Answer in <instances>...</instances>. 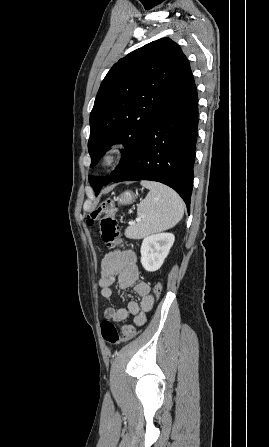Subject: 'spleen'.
<instances>
[{
    "label": "spleen",
    "instance_id": "3e777b00",
    "mask_svg": "<svg viewBox=\"0 0 269 447\" xmlns=\"http://www.w3.org/2000/svg\"><path fill=\"white\" fill-rule=\"evenodd\" d=\"M141 186L150 190L145 200L137 208L138 224L129 225L125 231L126 237L141 239L150 233H158L178 224L184 216V204L180 196L158 182H141Z\"/></svg>",
    "mask_w": 269,
    "mask_h": 447
}]
</instances>
